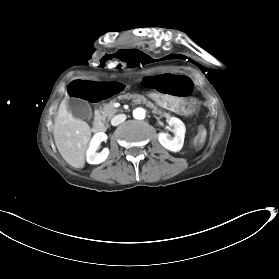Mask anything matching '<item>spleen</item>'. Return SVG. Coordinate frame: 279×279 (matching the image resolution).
I'll return each instance as SVG.
<instances>
[{"label": "spleen", "mask_w": 279, "mask_h": 279, "mask_svg": "<svg viewBox=\"0 0 279 279\" xmlns=\"http://www.w3.org/2000/svg\"><path fill=\"white\" fill-rule=\"evenodd\" d=\"M206 131L204 129H201L199 133L195 136V141L193 142L194 150L196 152H199L201 148L203 147L206 139Z\"/></svg>", "instance_id": "spleen-1"}]
</instances>
